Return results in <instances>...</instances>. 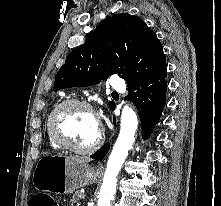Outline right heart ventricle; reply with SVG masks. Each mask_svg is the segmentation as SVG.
Masks as SVG:
<instances>
[{"label":"right heart ventricle","instance_id":"1","mask_svg":"<svg viewBox=\"0 0 221 206\" xmlns=\"http://www.w3.org/2000/svg\"><path fill=\"white\" fill-rule=\"evenodd\" d=\"M49 116H50V114H49ZM49 116L46 121V133H47L48 141H49V144L51 145V147H53L54 149H60L61 147L53 140V138L49 132V127H48Z\"/></svg>","mask_w":221,"mask_h":206}]
</instances>
